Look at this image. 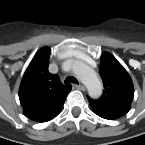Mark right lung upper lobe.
Segmentation results:
<instances>
[{
    "mask_svg": "<svg viewBox=\"0 0 145 145\" xmlns=\"http://www.w3.org/2000/svg\"><path fill=\"white\" fill-rule=\"evenodd\" d=\"M50 49H40L29 64L19 89L25 115L38 122L56 117L62 109L70 85H63L57 74L48 71Z\"/></svg>",
    "mask_w": 145,
    "mask_h": 145,
    "instance_id": "cb5924a9",
    "label": "right lung upper lobe"
}]
</instances>
